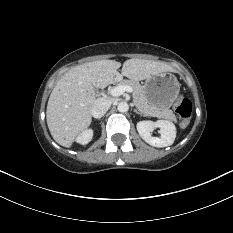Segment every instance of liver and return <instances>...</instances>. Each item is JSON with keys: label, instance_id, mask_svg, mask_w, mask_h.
I'll use <instances>...</instances> for the list:
<instances>
[{"label": "liver", "instance_id": "obj_1", "mask_svg": "<svg viewBox=\"0 0 233 233\" xmlns=\"http://www.w3.org/2000/svg\"><path fill=\"white\" fill-rule=\"evenodd\" d=\"M121 63L99 60L73 67L56 83L50 94L46 120L53 139L64 147H71L76 137L85 131L92 120L96 101L94 88H105L125 76L141 81L163 72H175L167 63L145 59H129Z\"/></svg>", "mask_w": 233, "mask_h": 233}]
</instances>
